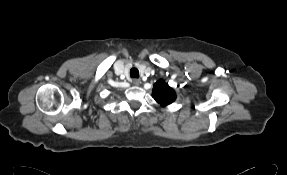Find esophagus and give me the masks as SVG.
Wrapping results in <instances>:
<instances>
[{
	"label": "esophagus",
	"instance_id": "34e87169",
	"mask_svg": "<svg viewBox=\"0 0 287 175\" xmlns=\"http://www.w3.org/2000/svg\"><path fill=\"white\" fill-rule=\"evenodd\" d=\"M132 83L135 85V86H138L141 84V80L140 79H133Z\"/></svg>",
	"mask_w": 287,
	"mask_h": 175
}]
</instances>
